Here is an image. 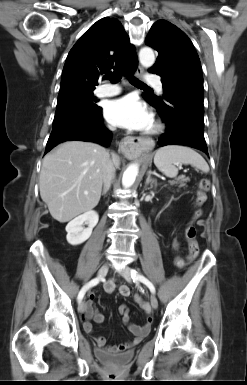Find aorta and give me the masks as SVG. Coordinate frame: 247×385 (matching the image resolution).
I'll return each mask as SVG.
<instances>
[{
	"instance_id": "aorta-1",
	"label": "aorta",
	"mask_w": 247,
	"mask_h": 385,
	"mask_svg": "<svg viewBox=\"0 0 247 385\" xmlns=\"http://www.w3.org/2000/svg\"><path fill=\"white\" fill-rule=\"evenodd\" d=\"M139 61L143 67L149 68L155 63V55L150 47H143L139 51ZM139 167L137 164H131L123 173L122 185L129 188L135 182L138 175Z\"/></svg>"
}]
</instances>
